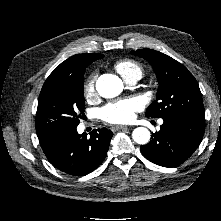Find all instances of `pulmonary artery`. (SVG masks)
Masks as SVG:
<instances>
[{
  "mask_svg": "<svg viewBox=\"0 0 221 221\" xmlns=\"http://www.w3.org/2000/svg\"><path fill=\"white\" fill-rule=\"evenodd\" d=\"M137 81H138V78H131V79L127 80L126 82L129 83V84H131V85H133V84H135Z\"/></svg>",
  "mask_w": 221,
  "mask_h": 221,
  "instance_id": "1",
  "label": "pulmonary artery"
}]
</instances>
